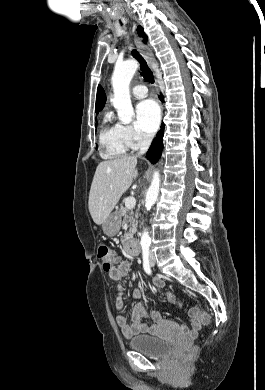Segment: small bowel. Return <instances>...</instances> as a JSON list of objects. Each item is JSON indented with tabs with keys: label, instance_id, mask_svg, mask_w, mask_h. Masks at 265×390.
I'll list each match as a JSON object with an SVG mask.
<instances>
[{
	"label": "small bowel",
	"instance_id": "small-bowel-1",
	"mask_svg": "<svg viewBox=\"0 0 265 390\" xmlns=\"http://www.w3.org/2000/svg\"><path fill=\"white\" fill-rule=\"evenodd\" d=\"M115 260L117 265L111 269L108 274L109 277L118 283V292L119 297L117 299V308L120 310L123 306L122 301V292L123 285L122 281L128 272L131 269V263L127 260H121L119 256H115ZM154 284L157 287H163L164 282L160 279H155ZM142 296V292L140 289H134L132 292V297L135 300H139ZM144 318H150L152 320V324H148L142 321ZM164 322L162 316V310H154L151 312H147L145 308L141 304H137L131 315V320L128 321L124 314L118 313L116 316V324L120 328L121 332L126 337H131L136 334L148 333V334H156L159 330L160 325ZM202 323L199 320L193 319L191 322V329L188 330L186 326H180V330L188 337L194 338L196 337L198 331L201 329Z\"/></svg>",
	"mask_w": 265,
	"mask_h": 390
}]
</instances>
